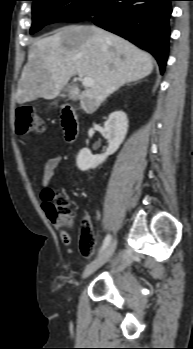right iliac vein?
<instances>
[{
  "mask_svg": "<svg viewBox=\"0 0 193 349\" xmlns=\"http://www.w3.org/2000/svg\"><path fill=\"white\" fill-rule=\"evenodd\" d=\"M117 245V240L114 239L106 248V250L96 260L90 263L84 270L82 278H87L95 271H97L102 265H104L113 255Z\"/></svg>",
  "mask_w": 193,
  "mask_h": 349,
  "instance_id": "obj_1",
  "label": "right iliac vein"
}]
</instances>
